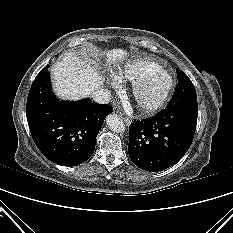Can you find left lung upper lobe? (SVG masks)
Returning a JSON list of instances; mask_svg holds the SVG:
<instances>
[{"label": "left lung upper lobe", "mask_w": 233, "mask_h": 233, "mask_svg": "<svg viewBox=\"0 0 233 233\" xmlns=\"http://www.w3.org/2000/svg\"><path fill=\"white\" fill-rule=\"evenodd\" d=\"M176 72L178 77V85L169 101V104L183 106L197 103L196 90L189 77L180 69H177Z\"/></svg>", "instance_id": "left-lung-upper-lobe-1"}]
</instances>
